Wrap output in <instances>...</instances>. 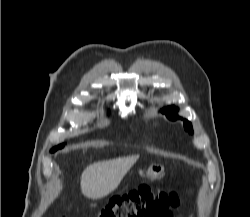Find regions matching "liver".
<instances>
[{
	"label": "liver",
	"mask_w": 250,
	"mask_h": 217,
	"mask_svg": "<svg viewBox=\"0 0 250 217\" xmlns=\"http://www.w3.org/2000/svg\"><path fill=\"white\" fill-rule=\"evenodd\" d=\"M138 159L139 155H132L89 165L81 175L82 194L93 200L106 197L119 186Z\"/></svg>",
	"instance_id": "1"
}]
</instances>
